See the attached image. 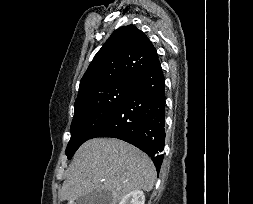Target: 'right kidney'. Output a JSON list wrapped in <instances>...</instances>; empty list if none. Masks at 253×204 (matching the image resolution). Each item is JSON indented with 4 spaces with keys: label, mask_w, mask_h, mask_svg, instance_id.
<instances>
[{
    "label": "right kidney",
    "mask_w": 253,
    "mask_h": 204,
    "mask_svg": "<svg viewBox=\"0 0 253 204\" xmlns=\"http://www.w3.org/2000/svg\"><path fill=\"white\" fill-rule=\"evenodd\" d=\"M119 204H145V195L140 190L132 191L125 195Z\"/></svg>",
    "instance_id": "ca27d5eb"
}]
</instances>
